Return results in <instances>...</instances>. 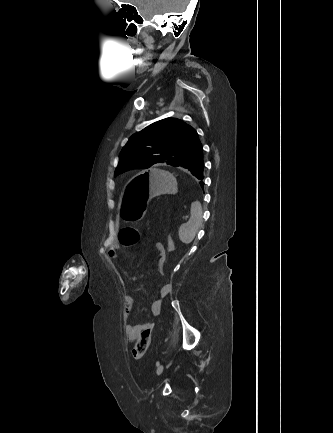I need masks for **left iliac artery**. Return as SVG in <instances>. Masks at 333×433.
<instances>
[{"label": "left iliac artery", "instance_id": "1", "mask_svg": "<svg viewBox=\"0 0 333 433\" xmlns=\"http://www.w3.org/2000/svg\"><path fill=\"white\" fill-rule=\"evenodd\" d=\"M158 365H159V362L156 363V366H158Z\"/></svg>", "mask_w": 333, "mask_h": 433}]
</instances>
